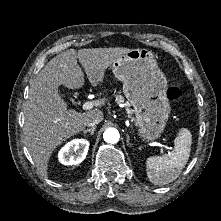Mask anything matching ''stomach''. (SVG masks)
<instances>
[{"label": "stomach", "mask_w": 221, "mask_h": 221, "mask_svg": "<svg viewBox=\"0 0 221 221\" xmlns=\"http://www.w3.org/2000/svg\"><path fill=\"white\" fill-rule=\"evenodd\" d=\"M112 72L123 83V93L134 108L140 137L146 143L157 140L171 108L165 96L167 79L154 54L147 49H130L112 63Z\"/></svg>", "instance_id": "1"}]
</instances>
